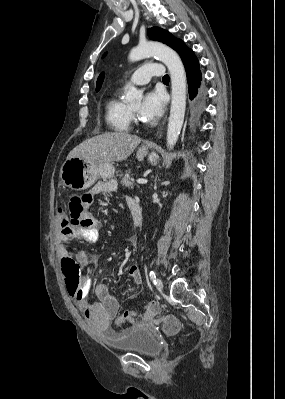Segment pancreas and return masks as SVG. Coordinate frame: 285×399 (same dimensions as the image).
<instances>
[{"instance_id": "cf45deb5", "label": "pancreas", "mask_w": 285, "mask_h": 399, "mask_svg": "<svg viewBox=\"0 0 285 399\" xmlns=\"http://www.w3.org/2000/svg\"><path fill=\"white\" fill-rule=\"evenodd\" d=\"M121 184L127 188H133L134 182L133 179L129 175H125V177L121 180Z\"/></svg>"}]
</instances>
